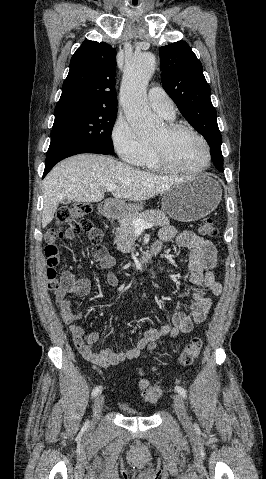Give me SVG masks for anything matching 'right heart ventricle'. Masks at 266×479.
Listing matches in <instances>:
<instances>
[{
	"label": "right heart ventricle",
	"mask_w": 266,
	"mask_h": 479,
	"mask_svg": "<svg viewBox=\"0 0 266 479\" xmlns=\"http://www.w3.org/2000/svg\"><path fill=\"white\" fill-rule=\"evenodd\" d=\"M141 168H143L146 171L150 172H160L162 171L161 167L155 160L153 150L151 149L150 153L147 155V157L138 165Z\"/></svg>",
	"instance_id": "right-heart-ventricle-1"
}]
</instances>
